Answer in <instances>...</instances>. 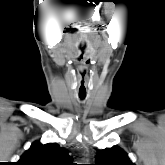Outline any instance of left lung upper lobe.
I'll use <instances>...</instances> for the list:
<instances>
[{"label":"left lung upper lobe","instance_id":"left-lung-upper-lobe-1","mask_svg":"<svg viewBox=\"0 0 165 165\" xmlns=\"http://www.w3.org/2000/svg\"><path fill=\"white\" fill-rule=\"evenodd\" d=\"M95 165H134L128 155L119 147L113 146L97 152Z\"/></svg>","mask_w":165,"mask_h":165}]
</instances>
